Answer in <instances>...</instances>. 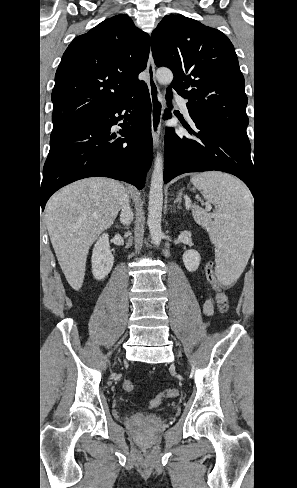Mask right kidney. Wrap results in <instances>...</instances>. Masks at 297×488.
Here are the masks:
<instances>
[{
	"label": "right kidney",
	"mask_w": 297,
	"mask_h": 488,
	"mask_svg": "<svg viewBox=\"0 0 297 488\" xmlns=\"http://www.w3.org/2000/svg\"><path fill=\"white\" fill-rule=\"evenodd\" d=\"M114 256L111 253L109 237L102 234L94 245L92 253V273L96 280H103L111 271Z\"/></svg>",
	"instance_id": "right-kidney-1"
}]
</instances>
